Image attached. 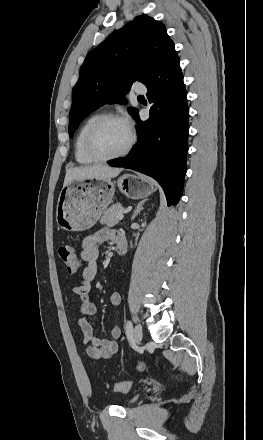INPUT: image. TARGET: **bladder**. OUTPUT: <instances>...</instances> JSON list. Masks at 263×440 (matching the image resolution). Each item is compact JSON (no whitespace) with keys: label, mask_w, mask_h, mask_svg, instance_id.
<instances>
[{"label":"bladder","mask_w":263,"mask_h":440,"mask_svg":"<svg viewBox=\"0 0 263 440\" xmlns=\"http://www.w3.org/2000/svg\"><path fill=\"white\" fill-rule=\"evenodd\" d=\"M138 398H139V395H133V396L129 397V398L126 400L125 404H126V405H131V404H133L134 402H136V401L138 400Z\"/></svg>","instance_id":"31cf9c89"}]
</instances>
